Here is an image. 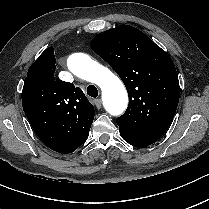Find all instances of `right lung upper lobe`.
I'll list each match as a JSON object with an SVG mask.
<instances>
[{
  "label": "right lung upper lobe",
  "instance_id": "right-lung-upper-lobe-1",
  "mask_svg": "<svg viewBox=\"0 0 209 209\" xmlns=\"http://www.w3.org/2000/svg\"><path fill=\"white\" fill-rule=\"evenodd\" d=\"M55 56L47 48L30 66L21 94L31 125L53 129L52 138L76 150L88 138L94 107L72 83L56 80Z\"/></svg>",
  "mask_w": 209,
  "mask_h": 209
}]
</instances>
